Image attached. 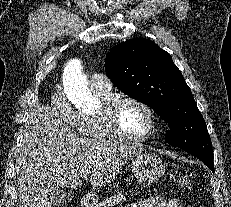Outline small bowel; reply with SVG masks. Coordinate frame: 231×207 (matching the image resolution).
I'll return each mask as SVG.
<instances>
[{
	"instance_id": "c3829d8e",
	"label": "small bowel",
	"mask_w": 231,
	"mask_h": 207,
	"mask_svg": "<svg viewBox=\"0 0 231 207\" xmlns=\"http://www.w3.org/2000/svg\"><path fill=\"white\" fill-rule=\"evenodd\" d=\"M129 207H182L177 199H167L162 197H148Z\"/></svg>"
}]
</instances>
